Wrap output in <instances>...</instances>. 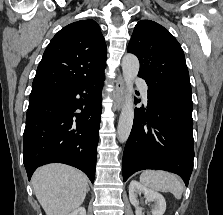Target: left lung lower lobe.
<instances>
[{
    "label": "left lung lower lobe",
    "mask_w": 223,
    "mask_h": 215,
    "mask_svg": "<svg viewBox=\"0 0 223 215\" xmlns=\"http://www.w3.org/2000/svg\"><path fill=\"white\" fill-rule=\"evenodd\" d=\"M192 107L148 86L147 111L135 110L125 146L123 181L140 170L161 169L180 175L188 186L194 158Z\"/></svg>",
    "instance_id": "0a47b994"
}]
</instances>
